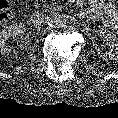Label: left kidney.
<instances>
[{"instance_id":"1","label":"left kidney","mask_w":118,"mask_h":118,"mask_svg":"<svg viewBox=\"0 0 118 118\" xmlns=\"http://www.w3.org/2000/svg\"><path fill=\"white\" fill-rule=\"evenodd\" d=\"M100 36L105 39L106 43L109 46V49L106 52H103L100 49H95L92 52L96 53V55L104 61L117 60L118 59V38L114 34L106 30H101Z\"/></svg>"}]
</instances>
